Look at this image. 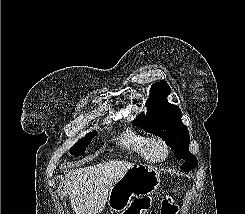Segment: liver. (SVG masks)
I'll list each match as a JSON object with an SVG mask.
<instances>
[{
    "label": "liver",
    "mask_w": 245,
    "mask_h": 214,
    "mask_svg": "<svg viewBox=\"0 0 245 214\" xmlns=\"http://www.w3.org/2000/svg\"><path fill=\"white\" fill-rule=\"evenodd\" d=\"M132 167L130 162L109 160L75 169L65 176L60 194L62 197L69 194L76 214H99L108 201L110 189Z\"/></svg>",
    "instance_id": "liver-1"
}]
</instances>
